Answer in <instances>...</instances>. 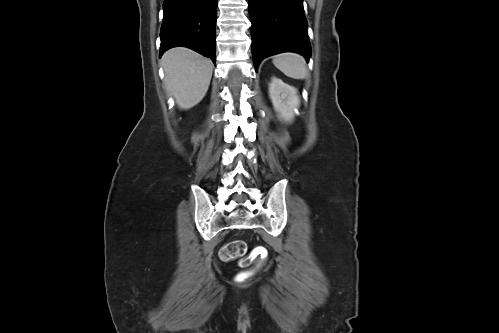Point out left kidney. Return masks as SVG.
I'll return each instance as SVG.
<instances>
[{"instance_id": "1", "label": "left kidney", "mask_w": 499, "mask_h": 333, "mask_svg": "<svg viewBox=\"0 0 499 333\" xmlns=\"http://www.w3.org/2000/svg\"><path fill=\"white\" fill-rule=\"evenodd\" d=\"M269 96L280 118L285 122H291L294 111L300 104L297 89L273 77L269 85Z\"/></svg>"}]
</instances>
